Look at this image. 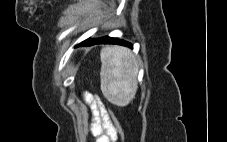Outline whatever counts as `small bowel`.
Here are the masks:
<instances>
[{"instance_id": "small-bowel-1", "label": "small bowel", "mask_w": 227, "mask_h": 142, "mask_svg": "<svg viewBox=\"0 0 227 142\" xmlns=\"http://www.w3.org/2000/svg\"><path fill=\"white\" fill-rule=\"evenodd\" d=\"M83 97L92 111L91 132L96 142H115L116 140L112 134V121L103 103L97 96L88 93H84Z\"/></svg>"}]
</instances>
